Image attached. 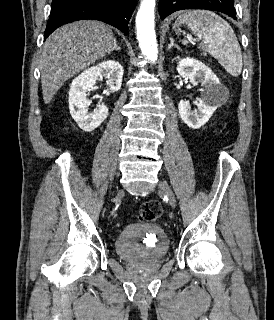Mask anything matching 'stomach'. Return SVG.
Here are the masks:
<instances>
[{
  "label": "stomach",
  "instance_id": "0dacf381",
  "mask_svg": "<svg viewBox=\"0 0 274 320\" xmlns=\"http://www.w3.org/2000/svg\"><path fill=\"white\" fill-rule=\"evenodd\" d=\"M174 30H175V32H182V30L180 28V24H176V26H174Z\"/></svg>",
  "mask_w": 274,
  "mask_h": 320
}]
</instances>
